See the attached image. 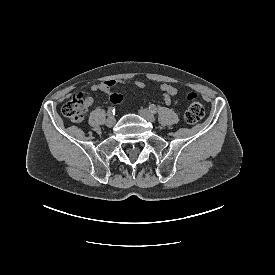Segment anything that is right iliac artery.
Returning <instances> with one entry per match:
<instances>
[{"instance_id":"obj_1","label":"right iliac artery","mask_w":275,"mask_h":275,"mask_svg":"<svg viewBox=\"0 0 275 275\" xmlns=\"http://www.w3.org/2000/svg\"><path fill=\"white\" fill-rule=\"evenodd\" d=\"M108 115L109 116L115 115V108H113V107L109 108Z\"/></svg>"}]
</instances>
